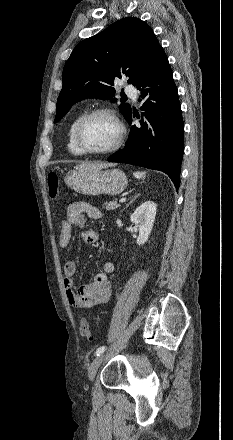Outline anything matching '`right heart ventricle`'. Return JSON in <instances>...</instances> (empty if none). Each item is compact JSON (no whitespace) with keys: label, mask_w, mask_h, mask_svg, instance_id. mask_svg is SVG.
Segmentation results:
<instances>
[{"label":"right heart ventricle","mask_w":233,"mask_h":440,"mask_svg":"<svg viewBox=\"0 0 233 440\" xmlns=\"http://www.w3.org/2000/svg\"><path fill=\"white\" fill-rule=\"evenodd\" d=\"M82 114H78L70 123L68 128V140H67V149L74 156H82L83 154L79 151L74 141V130L77 122L79 121Z\"/></svg>","instance_id":"e07e8e85"}]
</instances>
